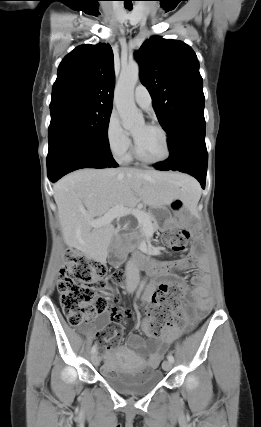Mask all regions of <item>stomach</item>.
<instances>
[{
  "mask_svg": "<svg viewBox=\"0 0 261 427\" xmlns=\"http://www.w3.org/2000/svg\"><path fill=\"white\" fill-rule=\"evenodd\" d=\"M168 206L170 210L174 212H180L185 208L186 204L181 198H175ZM159 212V210L154 211V217H158ZM153 219L155 220V218Z\"/></svg>",
  "mask_w": 261,
  "mask_h": 427,
  "instance_id": "obj_1",
  "label": "stomach"
}]
</instances>
